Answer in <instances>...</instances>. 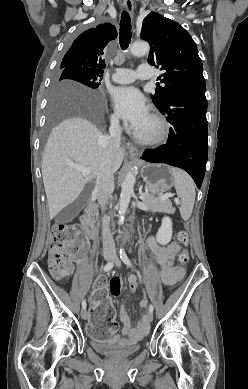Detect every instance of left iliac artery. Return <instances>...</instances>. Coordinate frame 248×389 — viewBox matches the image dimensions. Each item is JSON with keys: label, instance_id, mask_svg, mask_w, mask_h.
I'll use <instances>...</instances> for the list:
<instances>
[{"label": "left iliac artery", "instance_id": "obj_1", "mask_svg": "<svg viewBox=\"0 0 248 389\" xmlns=\"http://www.w3.org/2000/svg\"><path fill=\"white\" fill-rule=\"evenodd\" d=\"M120 258L127 266L132 267V263H131L130 259L128 258L124 248L120 249ZM138 275H139V278L141 281V276L139 273H138ZM149 312H153V305L152 304L149 305Z\"/></svg>", "mask_w": 248, "mask_h": 389}]
</instances>
